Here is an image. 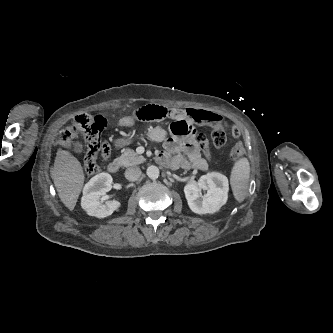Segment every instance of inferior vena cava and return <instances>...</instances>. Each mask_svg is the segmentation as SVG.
Here are the masks:
<instances>
[{
    "label": "inferior vena cava",
    "instance_id": "1",
    "mask_svg": "<svg viewBox=\"0 0 333 333\" xmlns=\"http://www.w3.org/2000/svg\"><path fill=\"white\" fill-rule=\"evenodd\" d=\"M141 176V170L139 167H130L125 170V177L129 181H136Z\"/></svg>",
    "mask_w": 333,
    "mask_h": 333
}]
</instances>
